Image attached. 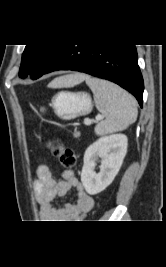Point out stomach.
Listing matches in <instances>:
<instances>
[{
    "label": "stomach",
    "mask_w": 166,
    "mask_h": 267,
    "mask_svg": "<svg viewBox=\"0 0 166 267\" xmlns=\"http://www.w3.org/2000/svg\"><path fill=\"white\" fill-rule=\"evenodd\" d=\"M52 106L58 117L71 120L92 111L91 97L86 92L60 91L52 98Z\"/></svg>",
    "instance_id": "0dacf381"
}]
</instances>
